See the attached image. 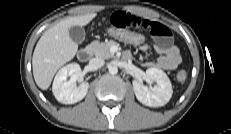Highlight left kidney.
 <instances>
[{"label":"left kidney","mask_w":231,"mask_h":134,"mask_svg":"<svg viewBox=\"0 0 231 134\" xmlns=\"http://www.w3.org/2000/svg\"><path fill=\"white\" fill-rule=\"evenodd\" d=\"M150 83L156 82L153 88L149 89L141 81H133V89L139 102L150 107H159L167 104L172 96L171 82L166 73L158 68H149L146 71Z\"/></svg>","instance_id":"5707ae66"}]
</instances>
